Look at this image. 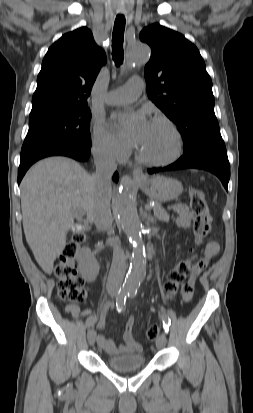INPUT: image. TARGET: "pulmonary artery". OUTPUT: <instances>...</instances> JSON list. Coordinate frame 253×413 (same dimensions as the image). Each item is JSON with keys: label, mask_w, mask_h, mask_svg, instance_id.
Listing matches in <instances>:
<instances>
[{"label": "pulmonary artery", "mask_w": 253, "mask_h": 413, "mask_svg": "<svg viewBox=\"0 0 253 413\" xmlns=\"http://www.w3.org/2000/svg\"><path fill=\"white\" fill-rule=\"evenodd\" d=\"M142 90V82L139 79L130 80L125 86L110 91L105 98L109 105H121L135 101Z\"/></svg>", "instance_id": "e3ab8cb5"}]
</instances>
